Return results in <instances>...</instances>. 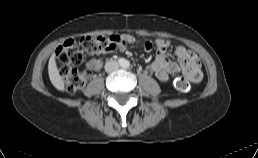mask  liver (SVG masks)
<instances>
[{
    "label": "liver",
    "mask_w": 258,
    "mask_h": 158,
    "mask_svg": "<svg viewBox=\"0 0 258 158\" xmlns=\"http://www.w3.org/2000/svg\"><path fill=\"white\" fill-rule=\"evenodd\" d=\"M56 55L53 53L48 62V74L52 85L59 91L64 90V81L59 74V70L56 65Z\"/></svg>",
    "instance_id": "6515ba94"
}]
</instances>
